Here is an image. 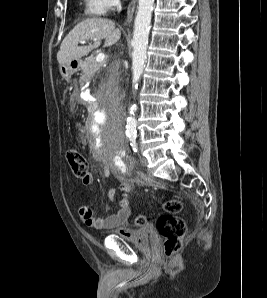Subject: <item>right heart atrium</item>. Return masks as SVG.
<instances>
[{
	"label": "right heart atrium",
	"instance_id": "d8ad5b80",
	"mask_svg": "<svg viewBox=\"0 0 267 298\" xmlns=\"http://www.w3.org/2000/svg\"><path fill=\"white\" fill-rule=\"evenodd\" d=\"M119 0H102L104 11H108L116 7Z\"/></svg>",
	"mask_w": 267,
	"mask_h": 298
}]
</instances>
